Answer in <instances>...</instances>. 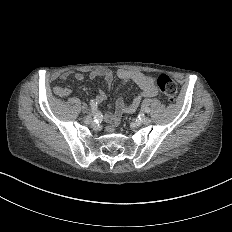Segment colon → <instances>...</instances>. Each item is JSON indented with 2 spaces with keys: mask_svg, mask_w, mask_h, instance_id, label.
<instances>
[{
  "mask_svg": "<svg viewBox=\"0 0 232 232\" xmlns=\"http://www.w3.org/2000/svg\"><path fill=\"white\" fill-rule=\"evenodd\" d=\"M159 90L162 91L161 98L164 101H177V96L175 91H177L176 81H161V86ZM60 98H69V93H60Z\"/></svg>",
  "mask_w": 232,
  "mask_h": 232,
  "instance_id": "obj_1",
  "label": "colon"
}]
</instances>
